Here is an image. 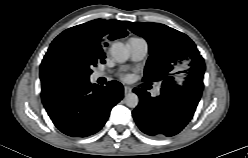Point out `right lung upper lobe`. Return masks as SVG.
<instances>
[{
	"mask_svg": "<svg viewBox=\"0 0 248 158\" xmlns=\"http://www.w3.org/2000/svg\"><path fill=\"white\" fill-rule=\"evenodd\" d=\"M128 34L126 26L118 20L96 19L85 24L71 27L58 35L51 43L40 66L41 93L50 89L65 86L78 85L86 82L78 78L72 81H64L56 78L49 68V57L56 46L68 43L77 46L79 49L98 57L105 63V53L103 51L104 39L110 40L125 37Z\"/></svg>",
	"mask_w": 248,
	"mask_h": 158,
	"instance_id": "obj_1",
	"label": "right lung upper lobe"
}]
</instances>
